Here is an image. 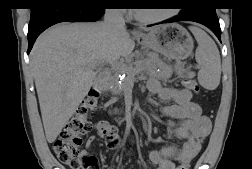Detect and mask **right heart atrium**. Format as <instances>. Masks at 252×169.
Returning a JSON list of instances; mask_svg holds the SVG:
<instances>
[{"label":"right heart atrium","instance_id":"right-heart-atrium-1","mask_svg":"<svg viewBox=\"0 0 252 169\" xmlns=\"http://www.w3.org/2000/svg\"><path fill=\"white\" fill-rule=\"evenodd\" d=\"M113 10L118 15H126V13H127L126 9H113Z\"/></svg>","mask_w":252,"mask_h":169}]
</instances>
